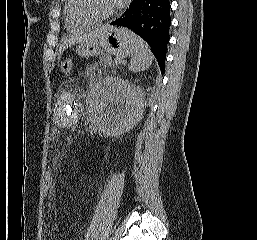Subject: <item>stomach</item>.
Returning <instances> with one entry per match:
<instances>
[{
  "label": "stomach",
  "instance_id": "0dacf381",
  "mask_svg": "<svg viewBox=\"0 0 257 240\" xmlns=\"http://www.w3.org/2000/svg\"><path fill=\"white\" fill-rule=\"evenodd\" d=\"M99 47L119 57L130 55V44L125 29H118L110 25H106L103 33L96 39L80 43L76 52L80 57L88 59L96 55Z\"/></svg>",
  "mask_w": 257,
  "mask_h": 240
}]
</instances>
